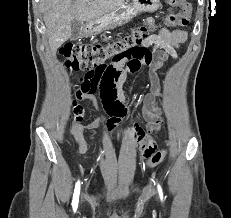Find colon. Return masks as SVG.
I'll return each mask as SVG.
<instances>
[{"mask_svg": "<svg viewBox=\"0 0 231 218\" xmlns=\"http://www.w3.org/2000/svg\"><path fill=\"white\" fill-rule=\"evenodd\" d=\"M172 7L180 8L177 13H170L165 23L168 26H187L190 22L191 7L186 0H166ZM152 28L150 26H139L130 32L116 37L107 43H96L92 45L67 43L61 48V55L65 65L75 71L84 69H97L104 63H111L120 56H152L151 52L142 46ZM73 114L76 121L83 118V109L75 104ZM167 150H154L146 162L148 167L158 165L166 156Z\"/></svg>", "mask_w": 231, "mask_h": 218, "instance_id": "1", "label": "colon"}]
</instances>
